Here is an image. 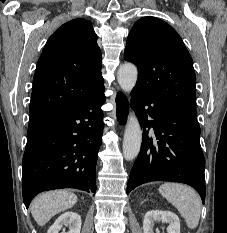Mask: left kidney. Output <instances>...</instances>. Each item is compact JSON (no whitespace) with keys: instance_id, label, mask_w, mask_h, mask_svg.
<instances>
[{"instance_id":"5707ae66","label":"left kidney","mask_w":227,"mask_h":233,"mask_svg":"<svg viewBox=\"0 0 227 233\" xmlns=\"http://www.w3.org/2000/svg\"><path fill=\"white\" fill-rule=\"evenodd\" d=\"M168 223L167 233H180V221L176 214L170 211H148L143 220L144 233H154L153 227L156 222Z\"/></svg>"}]
</instances>
